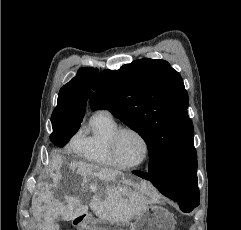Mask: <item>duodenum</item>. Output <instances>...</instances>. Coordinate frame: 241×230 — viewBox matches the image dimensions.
<instances>
[{"instance_id": "1", "label": "duodenum", "mask_w": 241, "mask_h": 230, "mask_svg": "<svg viewBox=\"0 0 241 230\" xmlns=\"http://www.w3.org/2000/svg\"><path fill=\"white\" fill-rule=\"evenodd\" d=\"M87 220H88V216L83 214V215L76 217L73 220V224L76 226H81V225L85 224L87 222Z\"/></svg>"}]
</instances>
